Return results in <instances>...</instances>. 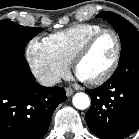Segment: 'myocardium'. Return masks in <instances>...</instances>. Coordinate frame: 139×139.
<instances>
[{
	"instance_id": "myocardium-1",
	"label": "myocardium",
	"mask_w": 139,
	"mask_h": 139,
	"mask_svg": "<svg viewBox=\"0 0 139 139\" xmlns=\"http://www.w3.org/2000/svg\"><path fill=\"white\" fill-rule=\"evenodd\" d=\"M104 34H111L113 36L116 45L115 54L108 69L100 77L95 78L93 80H89V83L93 85H100L109 80L116 72L120 64L122 56V43L118 33L110 28H103L95 32L79 47L72 59L73 69L77 72V66L80 60L90 51L95 42Z\"/></svg>"
}]
</instances>
